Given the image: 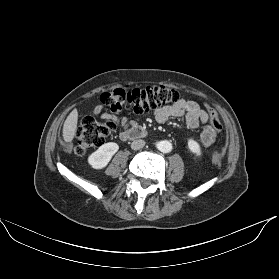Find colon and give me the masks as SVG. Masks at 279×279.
I'll list each match as a JSON object with an SVG mask.
<instances>
[{
    "label": "colon",
    "instance_id": "colon-1",
    "mask_svg": "<svg viewBox=\"0 0 279 279\" xmlns=\"http://www.w3.org/2000/svg\"><path fill=\"white\" fill-rule=\"evenodd\" d=\"M101 102L108 107L111 114L98 120L95 116H86L76 131V155L85 156L91 149L101 146L109 134L116 128V116L125 110L135 115H144L149 111L175 103L179 93L165 86H150L146 88L120 87L101 95ZM210 124L214 132L221 130V122L214 109L208 107Z\"/></svg>",
    "mask_w": 279,
    "mask_h": 279
}]
</instances>
